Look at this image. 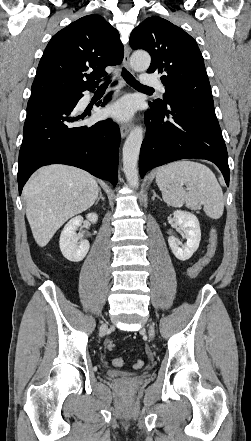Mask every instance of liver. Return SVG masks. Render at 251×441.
<instances>
[{
  "instance_id": "obj_1",
  "label": "liver",
  "mask_w": 251,
  "mask_h": 441,
  "mask_svg": "<svg viewBox=\"0 0 251 441\" xmlns=\"http://www.w3.org/2000/svg\"><path fill=\"white\" fill-rule=\"evenodd\" d=\"M95 178L81 169L50 165L39 169L23 189L26 216L36 243L44 247L71 217L97 200Z\"/></svg>"
}]
</instances>
